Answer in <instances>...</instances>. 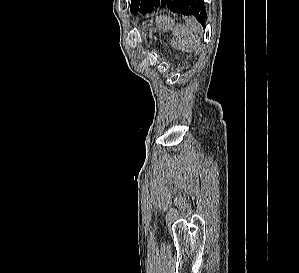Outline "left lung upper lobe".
I'll return each mask as SVG.
<instances>
[{"label": "left lung upper lobe", "instance_id": "obj_1", "mask_svg": "<svg viewBox=\"0 0 299 273\" xmlns=\"http://www.w3.org/2000/svg\"><path fill=\"white\" fill-rule=\"evenodd\" d=\"M146 0H131L130 11L132 14L139 13L143 7Z\"/></svg>", "mask_w": 299, "mask_h": 273}]
</instances>
